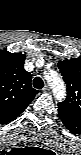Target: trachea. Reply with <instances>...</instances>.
<instances>
[{"instance_id": "trachea-1", "label": "trachea", "mask_w": 81, "mask_h": 155, "mask_svg": "<svg viewBox=\"0 0 81 155\" xmlns=\"http://www.w3.org/2000/svg\"><path fill=\"white\" fill-rule=\"evenodd\" d=\"M33 86H34L36 89H41V88H43V86H44V82H43V80H42L40 77H36V78H34V80H33Z\"/></svg>"}]
</instances>
